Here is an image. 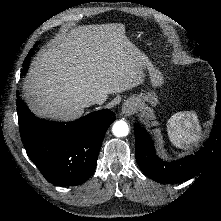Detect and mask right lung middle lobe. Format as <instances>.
Wrapping results in <instances>:
<instances>
[{
    "mask_svg": "<svg viewBox=\"0 0 221 221\" xmlns=\"http://www.w3.org/2000/svg\"><path fill=\"white\" fill-rule=\"evenodd\" d=\"M34 54V48L31 49V51L29 52V54L27 55V57L25 58L23 67L24 69L21 71L23 74L26 73L27 69H28V63H29V59L30 57Z\"/></svg>",
    "mask_w": 221,
    "mask_h": 221,
    "instance_id": "obj_1",
    "label": "right lung middle lobe"
}]
</instances>
